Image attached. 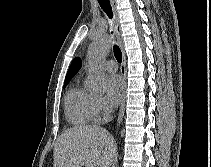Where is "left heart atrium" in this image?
I'll use <instances>...</instances> for the list:
<instances>
[{"instance_id":"left-heart-atrium-1","label":"left heart atrium","mask_w":211,"mask_h":167,"mask_svg":"<svg viewBox=\"0 0 211 167\" xmlns=\"http://www.w3.org/2000/svg\"><path fill=\"white\" fill-rule=\"evenodd\" d=\"M123 95V82L116 75H110L105 79V99L110 107H115Z\"/></svg>"}]
</instances>
